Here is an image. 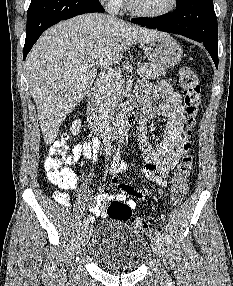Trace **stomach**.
Returning <instances> with one entry per match:
<instances>
[{
    "label": "stomach",
    "instance_id": "1",
    "mask_svg": "<svg viewBox=\"0 0 233 286\" xmlns=\"http://www.w3.org/2000/svg\"><path fill=\"white\" fill-rule=\"evenodd\" d=\"M143 50L151 64L162 68L177 65L183 55L179 43L168 34L143 45Z\"/></svg>",
    "mask_w": 233,
    "mask_h": 286
}]
</instances>
